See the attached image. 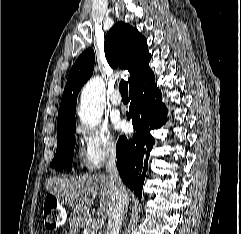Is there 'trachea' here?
<instances>
[{"mask_svg": "<svg viewBox=\"0 0 241 234\" xmlns=\"http://www.w3.org/2000/svg\"><path fill=\"white\" fill-rule=\"evenodd\" d=\"M119 90L122 97H128V83L127 81H121L119 84Z\"/></svg>", "mask_w": 241, "mask_h": 234, "instance_id": "3493384b", "label": "trachea"}]
</instances>
